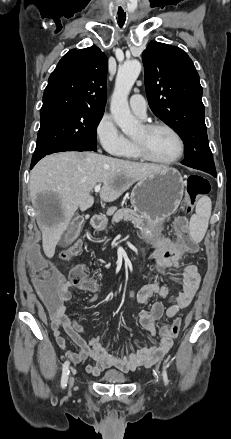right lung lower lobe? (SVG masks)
Segmentation results:
<instances>
[{
	"label": "right lung lower lobe",
	"instance_id": "obj_1",
	"mask_svg": "<svg viewBox=\"0 0 231 439\" xmlns=\"http://www.w3.org/2000/svg\"><path fill=\"white\" fill-rule=\"evenodd\" d=\"M62 151H84V150H79V149H64V150H60V151H54V152H48V153H35L32 157V162H31V167L33 168L34 165L43 157H45L46 155L55 153V152H62Z\"/></svg>",
	"mask_w": 231,
	"mask_h": 439
}]
</instances>
